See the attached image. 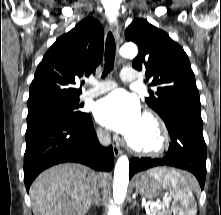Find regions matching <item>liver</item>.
Listing matches in <instances>:
<instances>
[{"label":"liver","instance_id":"6515ba94","mask_svg":"<svg viewBox=\"0 0 221 215\" xmlns=\"http://www.w3.org/2000/svg\"><path fill=\"white\" fill-rule=\"evenodd\" d=\"M96 174L81 164L67 163L42 172L30 187L34 215H85L97 190Z\"/></svg>","mask_w":221,"mask_h":215}]
</instances>
